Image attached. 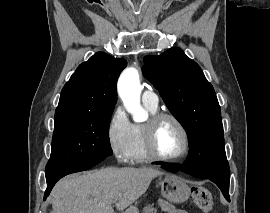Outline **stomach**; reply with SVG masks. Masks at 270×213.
<instances>
[{
	"label": "stomach",
	"mask_w": 270,
	"mask_h": 213,
	"mask_svg": "<svg viewBox=\"0 0 270 213\" xmlns=\"http://www.w3.org/2000/svg\"><path fill=\"white\" fill-rule=\"evenodd\" d=\"M161 193L170 202L180 203L189 198L190 188L183 179L166 174L160 181ZM128 213H138L136 208H131Z\"/></svg>",
	"instance_id": "1"
}]
</instances>
